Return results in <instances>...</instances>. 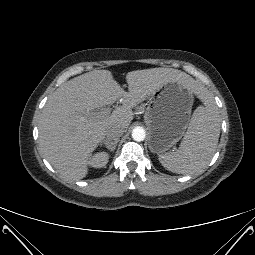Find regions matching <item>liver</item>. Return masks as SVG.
I'll list each match as a JSON object with an SVG mask.
<instances>
[{"label": "liver", "instance_id": "obj_1", "mask_svg": "<svg viewBox=\"0 0 255 255\" xmlns=\"http://www.w3.org/2000/svg\"><path fill=\"white\" fill-rule=\"evenodd\" d=\"M172 80L182 82L201 97L204 94L192 77L172 68L128 72V92L108 70H94L62 84L49 97L40 117V146L46 159L66 178H84L89 157L104 140L107 128L120 125L127 129L133 119L132 108ZM117 99L123 105L111 114L91 112Z\"/></svg>", "mask_w": 255, "mask_h": 255}]
</instances>
